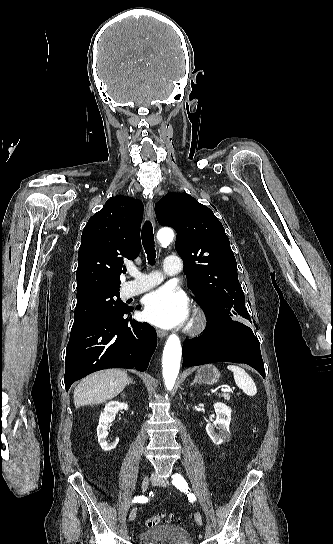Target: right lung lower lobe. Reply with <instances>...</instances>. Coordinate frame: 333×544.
Here are the masks:
<instances>
[{
	"label": "right lung lower lobe",
	"instance_id": "right-lung-lower-lobe-1",
	"mask_svg": "<svg viewBox=\"0 0 333 544\" xmlns=\"http://www.w3.org/2000/svg\"><path fill=\"white\" fill-rule=\"evenodd\" d=\"M132 311L128 308L70 335L65 357L66 391L76 380L98 370L146 371L157 345L156 332L148 323L131 320Z\"/></svg>",
	"mask_w": 333,
	"mask_h": 544
}]
</instances>
